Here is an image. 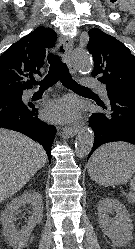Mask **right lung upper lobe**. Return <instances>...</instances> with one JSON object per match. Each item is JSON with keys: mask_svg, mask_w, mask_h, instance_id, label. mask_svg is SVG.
Wrapping results in <instances>:
<instances>
[{"mask_svg": "<svg viewBox=\"0 0 135 249\" xmlns=\"http://www.w3.org/2000/svg\"><path fill=\"white\" fill-rule=\"evenodd\" d=\"M56 39L54 30L40 26L12 44L0 56V93L32 88L28 79L40 74L46 51L54 46Z\"/></svg>", "mask_w": 135, "mask_h": 249, "instance_id": "right-lung-upper-lobe-1", "label": "right lung upper lobe"}]
</instances>
